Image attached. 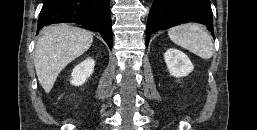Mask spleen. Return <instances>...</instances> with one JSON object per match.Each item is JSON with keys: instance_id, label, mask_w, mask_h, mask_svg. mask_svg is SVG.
I'll return each mask as SVG.
<instances>
[{"instance_id": "3e777b00", "label": "spleen", "mask_w": 257, "mask_h": 130, "mask_svg": "<svg viewBox=\"0 0 257 130\" xmlns=\"http://www.w3.org/2000/svg\"><path fill=\"white\" fill-rule=\"evenodd\" d=\"M170 39L203 59H210L214 46L207 30L200 24L190 23L171 28Z\"/></svg>"}]
</instances>
